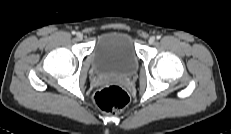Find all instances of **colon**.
Returning a JSON list of instances; mask_svg holds the SVG:
<instances>
[{
	"label": "colon",
	"mask_w": 231,
	"mask_h": 134,
	"mask_svg": "<svg viewBox=\"0 0 231 134\" xmlns=\"http://www.w3.org/2000/svg\"><path fill=\"white\" fill-rule=\"evenodd\" d=\"M96 106L107 114H117L125 109L129 102L126 91L115 84L102 87L94 95Z\"/></svg>",
	"instance_id": "obj_1"
}]
</instances>
